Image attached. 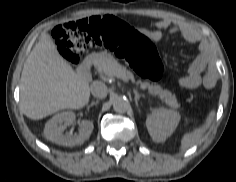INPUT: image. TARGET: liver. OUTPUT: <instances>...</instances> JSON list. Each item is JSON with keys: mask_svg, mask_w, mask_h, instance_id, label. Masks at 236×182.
I'll return each mask as SVG.
<instances>
[{"mask_svg": "<svg viewBox=\"0 0 236 182\" xmlns=\"http://www.w3.org/2000/svg\"><path fill=\"white\" fill-rule=\"evenodd\" d=\"M90 85L60 55L51 36L43 33L21 74L20 108L39 120L63 109H81L89 102Z\"/></svg>", "mask_w": 236, "mask_h": 182, "instance_id": "6515ba94", "label": "liver"}]
</instances>
